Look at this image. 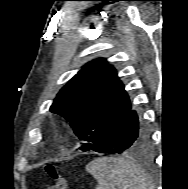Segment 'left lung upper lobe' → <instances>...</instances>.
Masks as SVG:
<instances>
[{
  "instance_id": "1",
  "label": "left lung upper lobe",
  "mask_w": 188,
  "mask_h": 189,
  "mask_svg": "<svg viewBox=\"0 0 188 189\" xmlns=\"http://www.w3.org/2000/svg\"><path fill=\"white\" fill-rule=\"evenodd\" d=\"M131 104L113 66L96 59L60 90L50 111L65 117L83 151L93 148L129 111Z\"/></svg>"
}]
</instances>
